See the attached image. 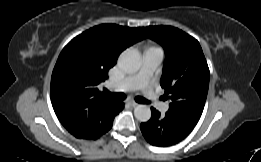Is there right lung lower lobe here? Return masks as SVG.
<instances>
[{"instance_id":"1","label":"right lung lower lobe","mask_w":261,"mask_h":162,"mask_svg":"<svg viewBox=\"0 0 261 162\" xmlns=\"http://www.w3.org/2000/svg\"><path fill=\"white\" fill-rule=\"evenodd\" d=\"M123 109V103L120 102V111ZM119 111V112H120ZM114 119V118H113ZM113 119L108 122L106 125H104L103 127H101L92 137L87 138V139H97L99 138L101 135H103L104 133H106L107 131L110 130V128L112 127L113 124Z\"/></svg>"}]
</instances>
